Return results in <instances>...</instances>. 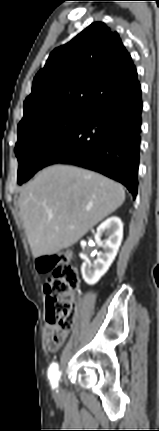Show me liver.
<instances>
[{
  "label": "liver",
  "mask_w": 159,
  "mask_h": 431,
  "mask_svg": "<svg viewBox=\"0 0 159 431\" xmlns=\"http://www.w3.org/2000/svg\"><path fill=\"white\" fill-rule=\"evenodd\" d=\"M124 200L123 186L98 173L59 164L43 169L19 196L34 258L72 246Z\"/></svg>",
  "instance_id": "1"
}]
</instances>
